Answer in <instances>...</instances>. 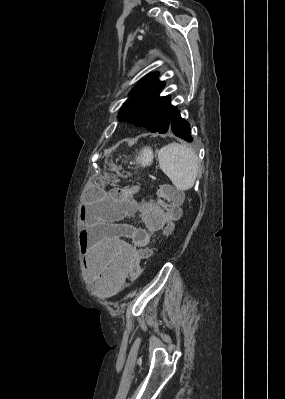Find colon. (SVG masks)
Listing matches in <instances>:
<instances>
[{
  "instance_id": "obj_1",
  "label": "colon",
  "mask_w": 285,
  "mask_h": 399,
  "mask_svg": "<svg viewBox=\"0 0 285 399\" xmlns=\"http://www.w3.org/2000/svg\"><path fill=\"white\" fill-rule=\"evenodd\" d=\"M110 177H95L91 180V186L93 188H101L102 181L110 180ZM141 191V187L124 188L120 186H115L109 190V195L115 199H125L131 197ZM157 196L162 199V206L167 210L172 221L176 220L179 214L178 205L181 201V192L177 188L171 185H160L157 187ZM172 225H169L164 233H170ZM150 249L144 248L138 251V256L134 259L131 274L134 277L139 276L143 271L142 259L144 255H149Z\"/></svg>"
}]
</instances>
